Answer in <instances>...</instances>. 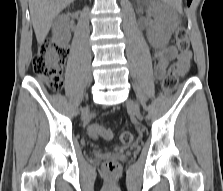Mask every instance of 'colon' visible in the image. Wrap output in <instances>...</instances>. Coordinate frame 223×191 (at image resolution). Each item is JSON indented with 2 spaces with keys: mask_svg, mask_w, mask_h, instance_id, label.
Masks as SVG:
<instances>
[{
  "mask_svg": "<svg viewBox=\"0 0 223 191\" xmlns=\"http://www.w3.org/2000/svg\"><path fill=\"white\" fill-rule=\"evenodd\" d=\"M176 46L180 53H187L190 48V42L184 27H179L176 31ZM67 59V49L53 42L45 43L32 60L33 71L42 79L45 85L53 92H58L62 87L63 67ZM179 65L174 62L170 65L168 72L163 80V90L171 93L175 90L178 83ZM92 137H101L109 140L112 138V132L108 128L99 125L90 127ZM120 142L129 145L133 142V133L125 130L120 134ZM119 170V165L115 161H108L104 165V171L114 174Z\"/></svg>",
  "mask_w": 223,
  "mask_h": 191,
  "instance_id": "obj_1",
  "label": "colon"
}]
</instances>
